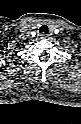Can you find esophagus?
<instances>
[{"label":"esophagus","instance_id":"esophagus-1","mask_svg":"<svg viewBox=\"0 0 81 124\" xmlns=\"http://www.w3.org/2000/svg\"><path fill=\"white\" fill-rule=\"evenodd\" d=\"M41 38H42V39H48V38H49V35H48V34H42V35H41Z\"/></svg>","mask_w":81,"mask_h":124}]
</instances>
